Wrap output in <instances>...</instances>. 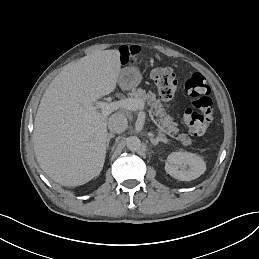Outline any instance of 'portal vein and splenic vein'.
<instances>
[{
    "label": "portal vein and splenic vein",
    "instance_id": "portal-vein-and-splenic-vein-1",
    "mask_svg": "<svg viewBox=\"0 0 259 259\" xmlns=\"http://www.w3.org/2000/svg\"><path fill=\"white\" fill-rule=\"evenodd\" d=\"M94 108L101 110L102 114L108 116L113 112L126 109V110H143V103L140 100L133 98H122L120 100H115L112 102L96 100L93 103Z\"/></svg>",
    "mask_w": 259,
    "mask_h": 259
}]
</instances>
